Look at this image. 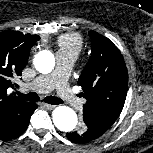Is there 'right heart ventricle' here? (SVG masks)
<instances>
[{"label": "right heart ventricle", "mask_w": 153, "mask_h": 153, "mask_svg": "<svg viewBox=\"0 0 153 153\" xmlns=\"http://www.w3.org/2000/svg\"><path fill=\"white\" fill-rule=\"evenodd\" d=\"M59 51L77 56L83 46L82 38L75 33L62 35L58 40Z\"/></svg>", "instance_id": "1"}]
</instances>
